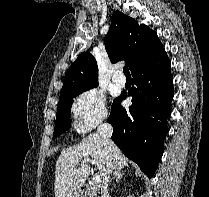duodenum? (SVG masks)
<instances>
[{"label":"duodenum","instance_id":"obj_1","mask_svg":"<svg viewBox=\"0 0 209 197\" xmlns=\"http://www.w3.org/2000/svg\"><path fill=\"white\" fill-rule=\"evenodd\" d=\"M90 193H91V190L89 189V187L83 186V188H82V194L88 195Z\"/></svg>","mask_w":209,"mask_h":197}]
</instances>
